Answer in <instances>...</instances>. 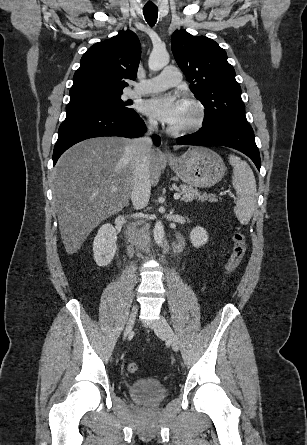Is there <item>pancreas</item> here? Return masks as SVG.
I'll list each match as a JSON object with an SVG mask.
<instances>
[{
	"label": "pancreas",
	"instance_id": "pancreas-1",
	"mask_svg": "<svg viewBox=\"0 0 307 445\" xmlns=\"http://www.w3.org/2000/svg\"><path fill=\"white\" fill-rule=\"evenodd\" d=\"M180 192L182 194L181 200H185V202H190V200H209V202H217L218 198H216V194H207V192H199L198 188H194V186H190V184H180L179 186Z\"/></svg>",
	"mask_w": 307,
	"mask_h": 445
}]
</instances>
